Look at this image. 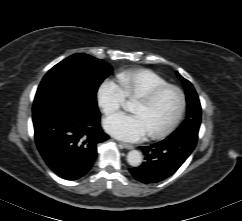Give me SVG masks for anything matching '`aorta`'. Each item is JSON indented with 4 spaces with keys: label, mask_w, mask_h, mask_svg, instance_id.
Wrapping results in <instances>:
<instances>
[{
    "label": "aorta",
    "mask_w": 242,
    "mask_h": 221,
    "mask_svg": "<svg viewBox=\"0 0 242 221\" xmlns=\"http://www.w3.org/2000/svg\"><path fill=\"white\" fill-rule=\"evenodd\" d=\"M127 162L133 167H138L142 163V154L137 150H131L127 154Z\"/></svg>",
    "instance_id": "obj_1"
}]
</instances>
